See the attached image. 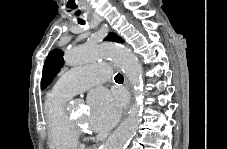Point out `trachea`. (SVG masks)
<instances>
[{
    "label": "trachea",
    "instance_id": "trachea-1",
    "mask_svg": "<svg viewBox=\"0 0 227 149\" xmlns=\"http://www.w3.org/2000/svg\"><path fill=\"white\" fill-rule=\"evenodd\" d=\"M79 23L81 24V25H85V21H79ZM124 80V78H123V76L121 75V74H117L116 76H115V81L116 82H121V81H123Z\"/></svg>",
    "mask_w": 227,
    "mask_h": 149
}]
</instances>
